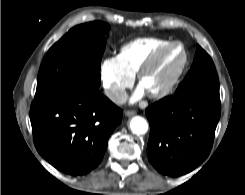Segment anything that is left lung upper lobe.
<instances>
[{"label": "left lung upper lobe", "instance_id": "1", "mask_svg": "<svg viewBox=\"0 0 245 195\" xmlns=\"http://www.w3.org/2000/svg\"><path fill=\"white\" fill-rule=\"evenodd\" d=\"M174 95L219 97V80L211 57L199 45L190 71L178 86Z\"/></svg>", "mask_w": 245, "mask_h": 195}]
</instances>
